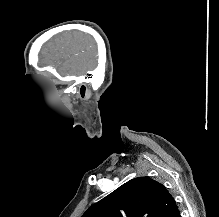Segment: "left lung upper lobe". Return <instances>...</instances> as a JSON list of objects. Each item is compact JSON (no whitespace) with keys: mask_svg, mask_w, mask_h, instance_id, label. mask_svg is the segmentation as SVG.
Here are the masks:
<instances>
[{"mask_svg":"<svg viewBox=\"0 0 219 217\" xmlns=\"http://www.w3.org/2000/svg\"><path fill=\"white\" fill-rule=\"evenodd\" d=\"M173 196L161 183L139 177L91 206L82 217H177Z\"/></svg>","mask_w":219,"mask_h":217,"instance_id":"5c2ea615","label":"left lung upper lobe"}]
</instances>
